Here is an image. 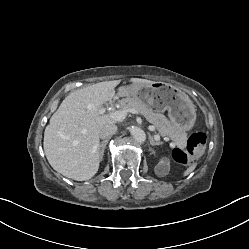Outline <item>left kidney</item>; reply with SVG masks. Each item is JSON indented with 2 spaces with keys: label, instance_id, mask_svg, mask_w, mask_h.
<instances>
[{
  "label": "left kidney",
  "instance_id": "5707ae66",
  "mask_svg": "<svg viewBox=\"0 0 249 249\" xmlns=\"http://www.w3.org/2000/svg\"><path fill=\"white\" fill-rule=\"evenodd\" d=\"M170 170V162L167 158L162 159L155 167V173L158 176H165Z\"/></svg>",
  "mask_w": 249,
  "mask_h": 249
}]
</instances>
